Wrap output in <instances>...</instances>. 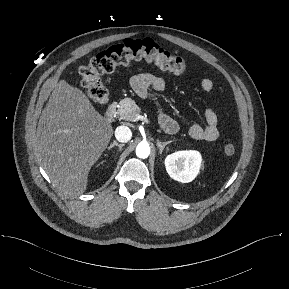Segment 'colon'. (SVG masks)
Returning a JSON list of instances; mask_svg holds the SVG:
<instances>
[{
    "label": "colon",
    "mask_w": 289,
    "mask_h": 289,
    "mask_svg": "<svg viewBox=\"0 0 289 289\" xmlns=\"http://www.w3.org/2000/svg\"><path fill=\"white\" fill-rule=\"evenodd\" d=\"M138 60L153 63L160 69L175 74H181L187 70V63L182 57L164 50L153 40L128 39L123 43L101 51L87 65L82 66L79 70L81 84L86 88L94 103L102 104L108 98V91L101 80V76L113 72L118 66ZM223 152L228 156L233 155L235 146L228 143L223 147Z\"/></svg>",
    "instance_id": "5ec220e1"
}]
</instances>
